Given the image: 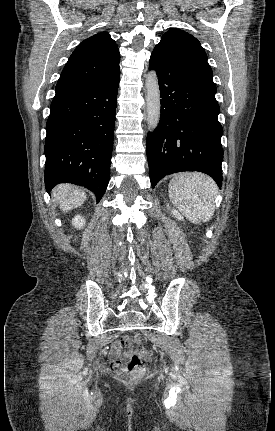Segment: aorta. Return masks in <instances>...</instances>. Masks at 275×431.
Wrapping results in <instances>:
<instances>
[{
	"label": "aorta",
	"instance_id": "obj_1",
	"mask_svg": "<svg viewBox=\"0 0 275 431\" xmlns=\"http://www.w3.org/2000/svg\"><path fill=\"white\" fill-rule=\"evenodd\" d=\"M146 112L147 124L150 131H154L160 121V89L155 71H150L146 76Z\"/></svg>",
	"mask_w": 275,
	"mask_h": 431
}]
</instances>
